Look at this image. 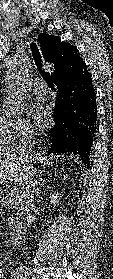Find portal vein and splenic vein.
I'll return each instance as SVG.
<instances>
[{
	"instance_id": "1",
	"label": "portal vein and splenic vein",
	"mask_w": 113,
	"mask_h": 279,
	"mask_svg": "<svg viewBox=\"0 0 113 279\" xmlns=\"http://www.w3.org/2000/svg\"><path fill=\"white\" fill-rule=\"evenodd\" d=\"M15 191H16L17 193H19L21 197L24 196L18 189H15Z\"/></svg>"
}]
</instances>
